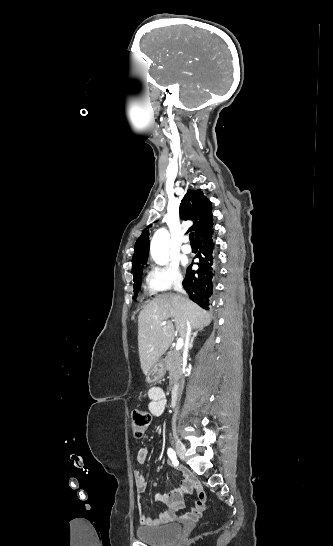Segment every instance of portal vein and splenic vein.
I'll use <instances>...</instances> for the list:
<instances>
[{"label": "portal vein and splenic vein", "instance_id": "18ae733b", "mask_svg": "<svg viewBox=\"0 0 333 546\" xmlns=\"http://www.w3.org/2000/svg\"><path fill=\"white\" fill-rule=\"evenodd\" d=\"M162 324L165 325V324H166V321H163ZM183 345H184L183 339H182V338H179V339L177 340V343H176V351L181 350L182 347H183Z\"/></svg>", "mask_w": 333, "mask_h": 546}]
</instances>
